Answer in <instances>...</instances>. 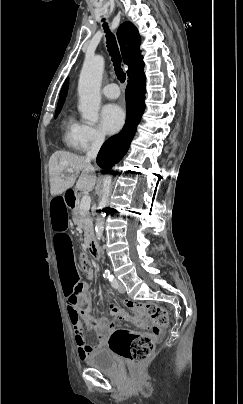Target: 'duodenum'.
Instances as JSON below:
<instances>
[{"instance_id":"obj_1","label":"duodenum","mask_w":243,"mask_h":404,"mask_svg":"<svg viewBox=\"0 0 243 404\" xmlns=\"http://www.w3.org/2000/svg\"><path fill=\"white\" fill-rule=\"evenodd\" d=\"M64 194H65V200H66L67 206L71 210H76L78 208V196H77V193L72 188H68V189L65 190ZM87 248H88L90 254L95 259H99L100 253H99V249H98V246H97V243H96L95 239L90 238L88 240Z\"/></svg>"}]
</instances>
